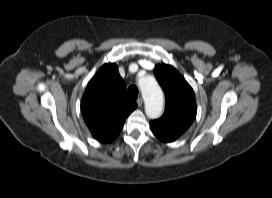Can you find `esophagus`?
<instances>
[{
	"instance_id": "esophagus-1",
	"label": "esophagus",
	"mask_w": 272,
	"mask_h": 198,
	"mask_svg": "<svg viewBox=\"0 0 272 198\" xmlns=\"http://www.w3.org/2000/svg\"><path fill=\"white\" fill-rule=\"evenodd\" d=\"M137 105L139 106V107H141L142 106V104H143V99L141 98V97H139L138 99H137Z\"/></svg>"
}]
</instances>
